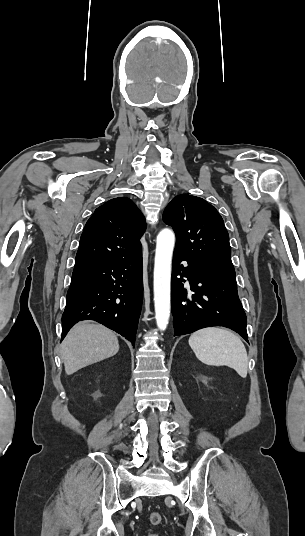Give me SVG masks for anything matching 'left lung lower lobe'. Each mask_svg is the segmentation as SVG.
<instances>
[{"label": "left lung lower lobe", "mask_w": 305, "mask_h": 536, "mask_svg": "<svg viewBox=\"0 0 305 536\" xmlns=\"http://www.w3.org/2000/svg\"><path fill=\"white\" fill-rule=\"evenodd\" d=\"M182 261H187L188 265L184 267ZM183 277L188 278L192 292L184 289ZM171 308L174 336L205 327L224 326L236 331L248 342L247 319L233 272L205 268L174 253Z\"/></svg>", "instance_id": "1"}]
</instances>
